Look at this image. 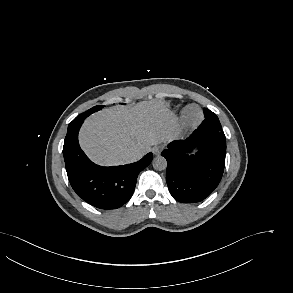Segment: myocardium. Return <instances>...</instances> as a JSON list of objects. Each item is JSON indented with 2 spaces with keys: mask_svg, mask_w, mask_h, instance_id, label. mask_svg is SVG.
I'll return each mask as SVG.
<instances>
[{
  "mask_svg": "<svg viewBox=\"0 0 293 293\" xmlns=\"http://www.w3.org/2000/svg\"><path fill=\"white\" fill-rule=\"evenodd\" d=\"M195 109L198 112V116L195 119L189 117V111ZM203 120V112L196 105H188L182 109L180 113V122L184 129H194L196 128Z\"/></svg>",
  "mask_w": 293,
  "mask_h": 293,
  "instance_id": "1",
  "label": "myocardium"
}]
</instances>
